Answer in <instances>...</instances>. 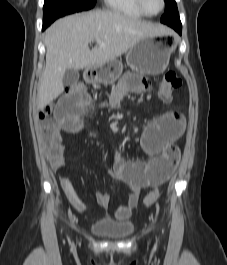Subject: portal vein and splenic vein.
Listing matches in <instances>:
<instances>
[{"label": "portal vein and splenic vein", "mask_w": 227, "mask_h": 265, "mask_svg": "<svg viewBox=\"0 0 227 265\" xmlns=\"http://www.w3.org/2000/svg\"><path fill=\"white\" fill-rule=\"evenodd\" d=\"M97 43H101V41L100 40H97ZM102 44V43H101ZM103 45V44H102Z\"/></svg>", "instance_id": "obj_1"}]
</instances>
